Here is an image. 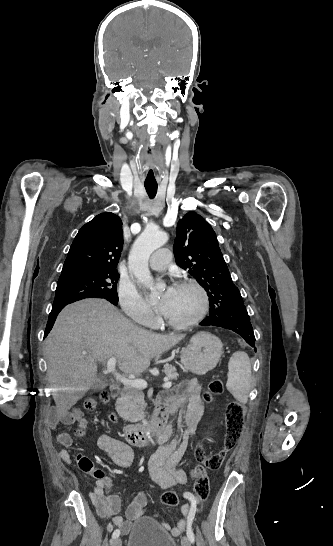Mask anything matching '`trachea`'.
Returning <instances> with one entry per match:
<instances>
[{"label":"trachea","mask_w":333,"mask_h":546,"mask_svg":"<svg viewBox=\"0 0 333 546\" xmlns=\"http://www.w3.org/2000/svg\"><path fill=\"white\" fill-rule=\"evenodd\" d=\"M151 175L152 177H154V173H153V170H150L148 172V176ZM145 186V189H146V192L148 193L149 197L150 198H154L156 193H157V188H158V184H153V183H145L144 184Z\"/></svg>","instance_id":"trachea-1"}]
</instances>
